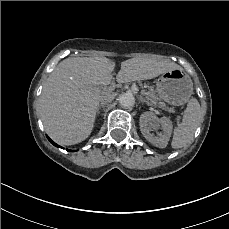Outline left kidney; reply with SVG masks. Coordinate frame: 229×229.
Masks as SVG:
<instances>
[{
    "label": "left kidney",
    "mask_w": 229,
    "mask_h": 229,
    "mask_svg": "<svg viewBox=\"0 0 229 229\" xmlns=\"http://www.w3.org/2000/svg\"><path fill=\"white\" fill-rule=\"evenodd\" d=\"M161 124L163 134L160 137L152 136L149 131ZM140 127L145 138L156 147L165 148L171 136L172 123L167 117L157 119L151 112H145L140 116Z\"/></svg>",
    "instance_id": "5707ae66"
}]
</instances>
